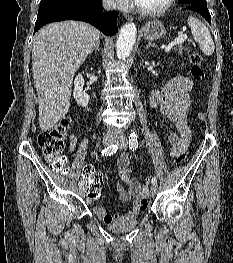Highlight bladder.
Instances as JSON below:
<instances>
[{
	"label": "bladder",
	"mask_w": 233,
	"mask_h": 263,
	"mask_svg": "<svg viewBox=\"0 0 233 263\" xmlns=\"http://www.w3.org/2000/svg\"><path fill=\"white\" fill-rule=\"evenodd\" d=\"M137 223H138V215L128 214L119 218L114 222L108 223L106 227L110 232L119 234L131 230L137 225Z\"/></svg>",
	"instance_id": "1"
}]
</instances>
